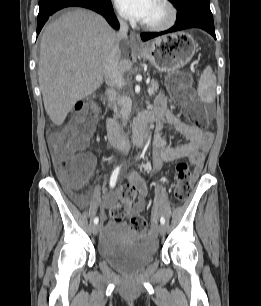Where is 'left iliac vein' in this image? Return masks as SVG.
<instances>
[{
  "label": "left iliac vein",
  "mask_w": 261,
  "mask_h": 306,
  "mask_svg": "<svg viewBox=\"0 0 261 306\" xmlns=\"http://www.w3.org/2000/svg\"><path fill=\"white\" fill-rule=\"evenodd\" d=\"M157 230H158L160 235H164L165 232H166V228H165L164 224H158L157 225Z\"/></svg>",
  "instance_id": "left-iliac-vein-1"
}]
</instances>
